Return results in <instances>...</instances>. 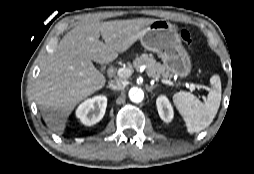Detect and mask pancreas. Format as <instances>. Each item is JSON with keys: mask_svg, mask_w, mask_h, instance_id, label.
I'll return each mask as SVG.
<instances>
[{"mask_svg": "<svg viewBox=\"0 0 254 174\" xmlns=\"http://www.w3.org/2000/svg\"><path fill=\"white\" fill-rule=\"evenodd\" d=\"M146 65V73L149 77H152L153 79H171L172 74L166 69L164 65L157 62L156 59L151 54H142L133 62V66L130 68H135L136 70H139L141 66Z\"/></svg>", "mask_w": 254, "mask_h": 174, "instance_id": "cf45deb5", "label": "pancreas"}]
</instances>
